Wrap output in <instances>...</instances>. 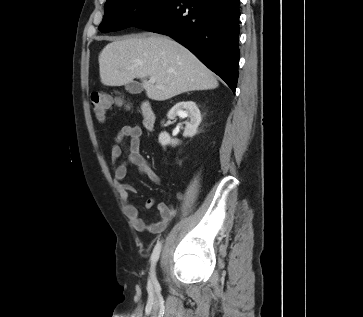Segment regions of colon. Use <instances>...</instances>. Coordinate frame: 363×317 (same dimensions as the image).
<instances>
[{"mask_svg": "<svg viewBox=\"0 0 363 317\" xmlns=\"http://www.w3.org/2000/svg\"><path fill=\"white\" fill-rule=\"evenodd\" d=\"M122 106L124 100L118 96H112L105 93L93 92L90 97V107L94 115L103 121L106 118V113L112 105Z\"/></svg>", "mask_w": 363, "mask_h": 317, "instance_id": "1", "label": "colon"}]
</instances>
